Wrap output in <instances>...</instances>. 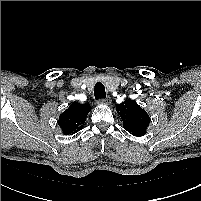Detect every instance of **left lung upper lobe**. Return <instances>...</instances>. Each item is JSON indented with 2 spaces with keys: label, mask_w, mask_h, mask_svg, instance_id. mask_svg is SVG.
I'll list each match as a JSON object with an SVG mask.
<instances>
[{
  "label": "left lung upper lobe",
  "mask_w": 201,
  "mask_h": 201,
  "mask_svg": "<svg viewBox=\"0 0 201 201\" xmlns=\"http://www.w3.org/2000/svg\"><path fill=\"white\" fill-rule=\"evenodd\" d=\"M116 110L123 120V127L134 136H143L146 134L150 123V117L134 100L126 99Z\"/></svg>",
  "instance_id": "left-lung-upper-lobe-1"
}]
</instances>
